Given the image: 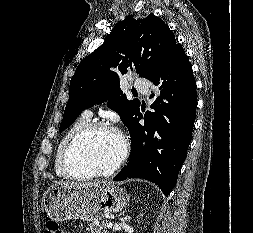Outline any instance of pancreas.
I'll use <instances>...</instances> for the list:
<instances>
[{"mask_svg": "<svg viewBox=\"0 0 253 233\" xmlns=\"http://www.w3.org/2000/svg\"><path fill=\"white\" fill-rule=\"evenodd\" d=\"M107 221L101 224L88 223L87 231L89 233H107Z\"/></svg>", "mask_w": 253, "mask_h": 233, "instance_id": "1", "label": "pancreas"}]
</instances>
